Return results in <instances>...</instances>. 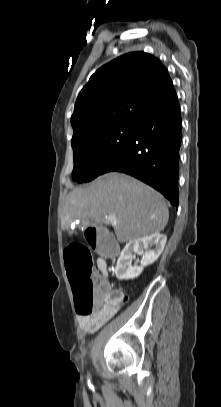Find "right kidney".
Returning <instances> with one entry per match:
<instances>
[{
  "instance_id": "1",
  "label": "right kidney",
  "mask_w": 221,
  "mask_h": 407,
  "mask_svg": "<svg viewBox=\"0 0 221 407\" xmlns=\"http://www.w3.org/2000/svg\"><path fill=\"white\" fill-rule=\"evenodd\" d=\"M166 241V235L160 233H154L143 238L129 241L117 260L115 268L116 277L119 280L137 278L142 273L144 267L154 263L158 259L165 247ZM149 245L154 246V248L144 253V249H148ZM134 253L143 255L140 266L131 265Z\"/></svg>"
}]
</instances>
